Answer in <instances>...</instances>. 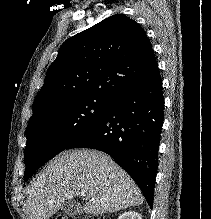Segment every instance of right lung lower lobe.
<instances>
[{"label": "right lung lower lobe", "instance_id": "obj_1", "mask_svg": "<svg viewBox=\"0 0 211 219\" xmlns=\"http://www.w3.org/2000/svg\"><path fill=\"white\" fill-rule=\"evenodd\" d=\"M163 120L157 67L146 81L113 99L104 115L67 149L91 148L109 154L137 183L152 209Z\"/></svg>", "mask_w": 211, "mask_h": 219}]
</instances>
